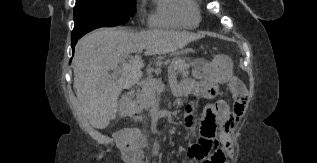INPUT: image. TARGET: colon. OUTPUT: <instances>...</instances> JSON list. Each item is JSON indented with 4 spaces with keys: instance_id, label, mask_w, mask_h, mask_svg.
Wrapping results in <instances>:
<instances>
[{
    "instance_id": "obj_1",
    "label": "colon",
    "mask_w": 317,
    "mask_h": 163,
    "mask_svg": "<svg viewBox=\"0 0 317 163\" xmlns=\"http://www.w3.org/2000/svg\"><path fill=\"white\" fill-rule=\"evenodd\" d=\"M231 91L235 100V105L244 100H248L247 92L242 83L234 79L231 83ZM225 104L218 102L214 105L207 106L203 110L201 117V129L207 133H215L219 127V120L224 111ZM133 156H138V152H133Z\"/></svg>"
}]
</instances>
